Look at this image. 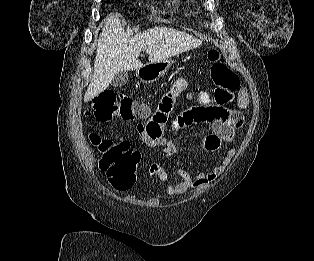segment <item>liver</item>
<instances>
[{"label":"liver","mask_w":314,"mask_h":261,"mask_svg":"<svg viewBox=\"0 0 314 261\" xmlns=\"http://www.w3.org/2000/svg\"><path fill=\"white\" fill-rule=\"evenodd\" d=\"M200 45L201 41L193 36L166 27H154L129 37L124 33L119 15L110 14L98 39L94 73L84 102L91 101L106 90L119 72L143 67L137 59L142 51L148 54L150 62H158Z\"/></svg>","instance_id":"1"}]
</instances>
